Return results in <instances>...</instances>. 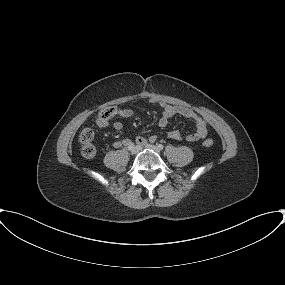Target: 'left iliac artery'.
Instances as JSON below:
<instances>
[{
    "instance_id": "obj_1",
    "label": "left iliac artery",
    "mask_w": 285,
    "mask_h": 285,
    "mask_svg": "<svg viewBox=\"0 0 285 285\" xmlns=\"http://www.w3.org/2000/svg\"><path fill=\"white\" fill-rule=\"evenodd\" d=\"M157 148H158L159 150H162V149L164 148V146H163L162 144H158V145H157Z\"/></svg>"
}]
</instances>
